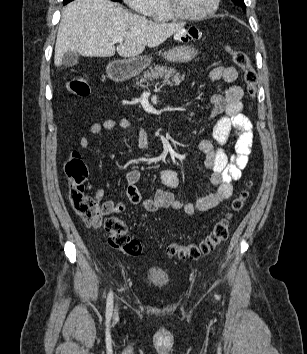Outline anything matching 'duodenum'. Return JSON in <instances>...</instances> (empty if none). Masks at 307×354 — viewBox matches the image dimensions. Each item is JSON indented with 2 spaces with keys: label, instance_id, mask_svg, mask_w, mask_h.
<instances>
[{
  "label": "duodenum",
  "instance_id": "duodenum-1",
  "mask_svg": "<svg viewBox=\"0 0 307 354\" xmlns=\"http://www.w3.org/2000/svg\"><path fill=\"white\" fill-rule=\"evenodd\" d=\"M114 79L116 80H121L124 76V74L120 71H115L113 72Z\"/></svg>",
  "mask_w": 307,
  "mask_h": 354
}]
</instances>
